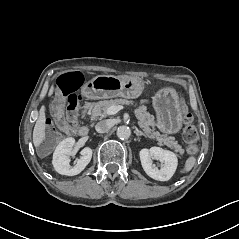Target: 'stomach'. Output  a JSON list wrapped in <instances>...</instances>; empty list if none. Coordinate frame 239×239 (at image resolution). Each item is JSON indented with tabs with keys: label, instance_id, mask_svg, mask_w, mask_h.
I'll return each instance as SVG.
<instances>
[{
	"label": "stomach",
	"instance_id": "obj_1",
	"mask_svg": "<svg viewBox=\"0 0 239 239\" xmlns=\"http://www.w3.org/2000/svg\"><path fill=\"white\" fill-rule=\"evenodd\" d=\"M143 89L144 82L139 77L98 75L81 87V93L88 99H133L139 97ZM152 104L156 111L157 127L169 134L179 132L183 117L176 90L172 87L160 89L153 96Z\"/></svg>",
	"mask_w": 239,
	"mask_h": 239
}]
</instances>
